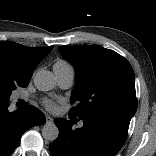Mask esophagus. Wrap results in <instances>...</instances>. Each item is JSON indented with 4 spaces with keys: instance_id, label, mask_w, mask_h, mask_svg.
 Segmentation results:
<instances>
[{
    "instance_id": "obj_1",
    "label": "esophagus",
    "mask_w": 156,
    "mask_h": 156,
    "mask_svg": "<svg viewBox=\"0 0 156 156\" xmlns=\"http://www.w3.org/2000/svg\"><path fill=\"white\" fill-rule=\"evenodd\" d=\"M53 122V118L49 115H46V123L51 124Z\"/></svg>"
}]
</instances>
